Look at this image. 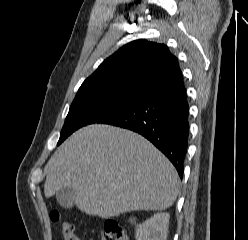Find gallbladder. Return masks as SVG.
I'll use <instances>...</instances> for the list:
<instances>
[{
	"label": "gallbladder",
	"instance_id": "gallbladder-1",
	"mask_svg": "<svg viewBox=\"0 0 248 240\" xmlns=\"http://www.w3.org/2000/svg\"><path fill=\"white\" fill-rule=\"evenodd\" d=\"M75 190L72 187H64L56 192V199L59 205L65 209H70L74 205Z\"/></svg>",
	"mask_w": 248,
	"mask_h": 240
}]
</instances>
